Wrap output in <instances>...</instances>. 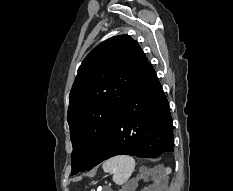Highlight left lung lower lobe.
<instances>
[{
  "label": "left lung lower lobe",
  "instance_id": "0a47b994",
  "mask_svg": "<svg viewBox=\"0 0 233 191\" xmlns=\"http://www.w3.org/2000/svg\"><path fill=\"white\" fill-rule=\"evenodd\" d=\"M173 151L168 100L154 68L147 62L86 169L116 155L155 158Z\"/></svg>",
  "mask_w": 233,
  "mask_h": 191
}]
</instances>
